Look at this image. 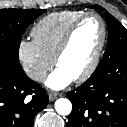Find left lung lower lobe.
<instances>
[{
    "label": "left lung lower lobe",
    "instance_id": "1",
    "mask_svg": "<svg viewBox=\"0 0 127 127\" xmlns=\"http://www.w3.org/2000/svg\"><path fill=\"white\" fill-rule=\"evenodd\" d=\"M67 97L73 105L67 127H127V51L99 64Z\"/></svg>",
    "mask_w": 127,
    "mask_h": 127
}]
</instances>
